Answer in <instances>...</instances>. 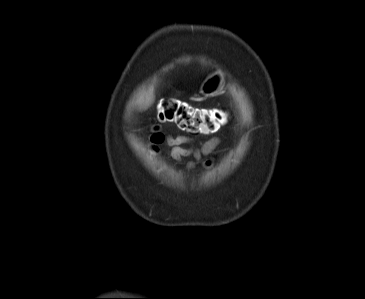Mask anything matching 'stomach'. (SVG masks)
<instances>
[{"mask_svg":"<svg viewBox=\"0 0 365 299\" xmlns=\"http://www.w3.org/2000/svg\"><path fill=\"white\" fill-rule=\"evenodd\" d=\"M221 82L220 75L216 74L206 79V81L201 86V92L203 94H213L215 93Z\"/></svg>","mask_w":365,"mask_h":299,"instance_id":"stomach-1","label":"stomach"}]
</instances>
